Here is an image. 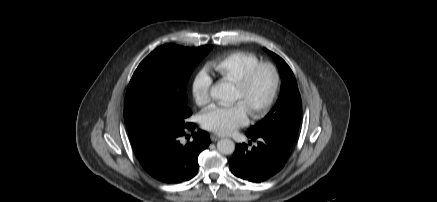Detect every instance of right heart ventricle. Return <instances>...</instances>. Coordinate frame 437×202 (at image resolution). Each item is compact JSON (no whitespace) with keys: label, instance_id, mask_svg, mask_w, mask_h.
Returning a JSON list of instances; mask_svg holds the SVG:
<instances>
[{"label":"right heart ventricle","instance_id":"obj_1","mask_svg":"<svg viewBox=\"0 0 437 202\" xmlns=\"http://www.w3.org/2000/svg\"><path fill=\"white\" fill-rule=\"evenodd\" d=\"M257 63H259V58L255 54L233 51L211 60L208 68L214 70L222 79L236 82Z\"/></svg>","mask_w":437,"mask_h":202}]
</instances>
